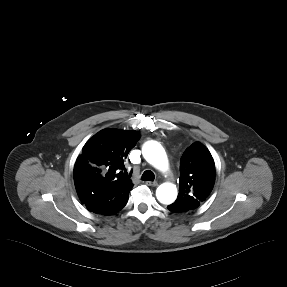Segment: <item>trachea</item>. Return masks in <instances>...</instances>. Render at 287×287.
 <instances>
[{
    "mask_svg": "<svg viewBox=\"0 0 287 287\" xmlns=\"http://www.w3.org/2000/svg\"><path fill=\"white\" fill-rule=\"evenodd\" d=\"M155 175L152 171L146 170L141 177V180L143 181H154Z\"/></svg>",
    "mask_w": 287,
    "mask_h": 287,
    "instance_id": "1",
    "label": "trachea"
}]
</instances>
